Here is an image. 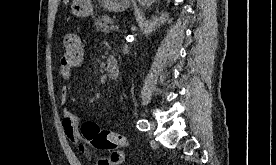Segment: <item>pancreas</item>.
I'll return each mask as SVG.
<instances>
[{"label": "pancreas", "mask_w": 276, "mask_h": 165, "mask_svg": "<svg viewBox=\"0 0 276 165\" xmlns=\"http://www.w3.org/2000/svg\"><path fill=\"white\" fill-rule=\"evenodd\" d=\"M112 23V19L108 17L107 15L102 16L101 18H97L95 20V27L97 31H102L104 33H108L110 31L109 24Z\"/></svg>", "instance_id": "obj_1"}]
</instances>
